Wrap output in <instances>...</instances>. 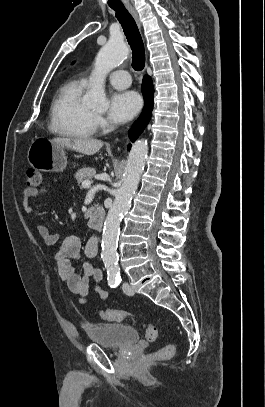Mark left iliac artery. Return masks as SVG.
Returning a JSON list of instances; mask_svg holds the SVG:
<instances>
[{"label": "left iliac artery", "instance_id": "44dca946", "mask_svg": "<svg viewBox=\"0 0 265 407\" xmlns=\"http://www.w3.org/2000/svg\"><path fill=\"white\" fill-rule=\"evenodd\" d=\"M120 282H121V278L119 277V278H117V284L119 285Z\"/></svg>", "mask_w": 265, "mask_h": 407}]
</instances>
